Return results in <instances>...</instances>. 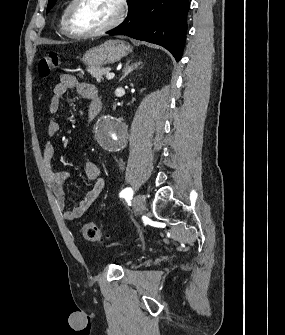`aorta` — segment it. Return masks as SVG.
<instances>
[{
    "label": "aorta",
    "mask_w": 285,
    "mask_h": 335,
    "mask_svg": "<svg viewBox=\"0 0 285 335\" xmlns=\"http://www.w3.org/2000/svg\"><path fill=\"white\" fill-rule=\"evenodd\" d=\"M104 119H93L91 134L96 137V147H104L105 152H122L125 141L130 136L122 119H111V112H104Z\"/></svg>",
    "instance_id": "obj_1"
}]
</instances>
